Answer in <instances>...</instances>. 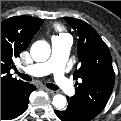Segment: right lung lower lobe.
<instances>
[{"mask_svg":"<svg viewBox=\"0 0 121 121\" xmlns=\"http://www.w3.org/2000/svg\"><path fill=\"white\" fill-rule=\"evenodd\" d=\"M36 87L27 82L14 85L1 93V119H14L28 107L29 95Z\"/></svg>","mask_w":121,"mask_h":121,"instance_id":"1","label":"right lung lower lobe"}]
</instances>
